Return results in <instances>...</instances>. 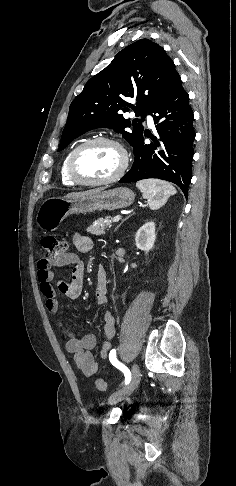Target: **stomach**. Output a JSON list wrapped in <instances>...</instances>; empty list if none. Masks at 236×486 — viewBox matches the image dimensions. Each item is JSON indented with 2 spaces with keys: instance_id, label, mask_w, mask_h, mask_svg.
Wrapping results in <instances>:
<instances>
[{
  "instance_id": "0dacf381",
  "label": "stomach",
  "mask_w": 236,
  "mask_h": 486,
  "mask_svg": "<svg viewBox=\"0 0 236 486\" xmlns=\"http://www.w3.org/2000/svg\"><path fill=\"white\" fill-rule=\"evenodd\" d=\"M134 199V192L127 187H117L72 198L53 197L46 199L40 205L36 223L42 230L52 232L71 214L126 208L134 202Z\"/></svg>"
}]
</instances>
